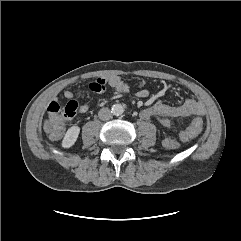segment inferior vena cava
I'll list each match as a JSON object with an SVG mask.
<instances>
[{
  "label": "inferior vena cava",
  "instance_id": "1",
  "mask_svg": "<svg viewBox=\"0 0 241 241\" xmlns=\"http://www.w3.org/2000/svg\"><path fill=\"white\" fill-rule=\"evenodd\" d=\"M98 116L101 120L107 121L112 117V112L109 108H102L100 109Z\"/></svg>",
  "mask_w": 241,
  "mask_h": 241
}]
</instances>
